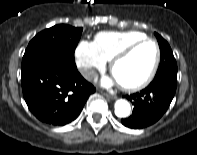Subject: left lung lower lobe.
Listing matches in <instances>:
<instances>
[{"instance_id":"left-lung-lower-lobe-1","label":"left lung lower lobe","mask_w":197,"mask_h":155,"mask_svg":"<svg viewBox=\"0 0 197 155\" xmlns=\"http://www.w3.org/2000/svg\"><path fill=\"white\" fill-rule=\"evenodd\" d=\"M177 78L162 76L154 80L141 92L127 96L135 106L132 116L122 119L123 125L140 129L152 125L168 109L176 91Z\"/></svg>"}]
</instances>
